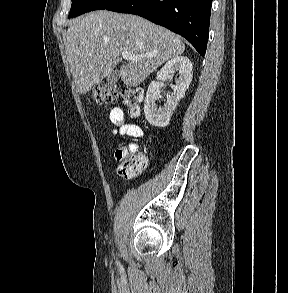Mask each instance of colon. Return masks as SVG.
<instances>
[{
  "instance_id": "colon-1",
  "label": "colon",
  "mask_w": 288,
  "mask_h": 293,
  "mask_svg": "<svg viewBox=\"0 0 288 293\" xmlns=\"http://www.w3.org/2000/svg\"><path fill=\"white\" fill-rule=\"evenodd\" d=\"M93 98L97 103L120 101L131 116H138L143 102L144 93L140 88H123L117 90L108 85H96L93 89ZM115 158L120 163L118 173L123 176H135L145 166V158L135 154L129 147L120 146L115 151Z\"/></svg>"
}]
</instances>
